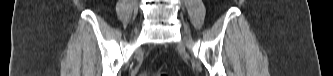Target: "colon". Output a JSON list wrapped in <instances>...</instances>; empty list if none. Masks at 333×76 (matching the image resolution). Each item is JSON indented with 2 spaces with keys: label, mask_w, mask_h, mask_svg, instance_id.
I'll return each mask as SVG.
<instances>
[{
  "label": "colon",
  "mask_w": 333,
  "mask_h": 76,
  "mask_svg": "<svg viewBox=\"0 0 333 76\" xmlns=\"http://www.w3.org/2000/svg\"><path fill=\"white\" fill-rule=\"evenodd\" d=\"M154 75H157V76H165L166 74H164V73H156V74H154Z\"/></svg>",
  "instance_id": "5ec220e1"
}]
</instances>
